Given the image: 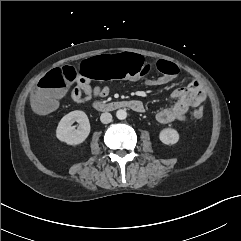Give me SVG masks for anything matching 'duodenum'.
Here are the masks:
<instances>
[{
	"instance_id": "410a0bca",
	"label": "duodenum",
	"mask_w": 241,
	"mask_h": 241,
	"mask_svg": "<svg viewBox=\"0 0 241 241\" xmlns=\"http://www.w3.org/2000/svg\"><path fill=\"white\" fill-rule=\"evenodd\" d=\"M93 107L102 112L114 111L121 108H134V104L131 101L116 100L108 102L96 101L93 103Z\"/></svg>"
}]
</instances>
